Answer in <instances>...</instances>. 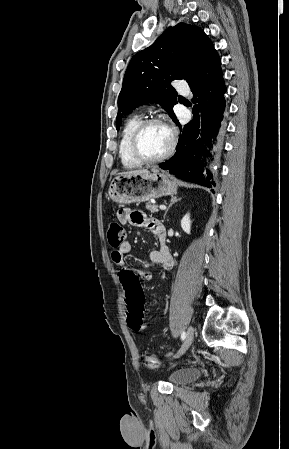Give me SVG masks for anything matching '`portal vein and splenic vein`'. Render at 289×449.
<instances>
[{"instance_id":"obj_1","label":"portal vein and splenic vein","mask_w":289,"mask_h":449,"mask_svg":"<svg viewBox=\"0 0 289 449\" xmlns=\"http://www.w3.org/2000/svg\"><path fill=\"white\" fill-rule=\"evenodd\" d=\"M159 208H160L161 210H165V209H166V206H165V205H160Z\"/></svg>"}]
</instances>
